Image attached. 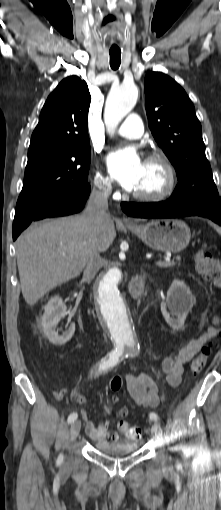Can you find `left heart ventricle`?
Masks as SVG:
<instances>
[{
	"mask_svg": "<svg viewBox=\"0 0 221 510\" xmlns=\"http://www.w3.org/2000/svg\"><path fill=\"white\" fill-rule=\"evenodd\" d=\"M166 179V172L160 163L144 162L142 175L134 192L157 193L165 186Z\"/></svg>",
	"mask_w": 221,
	"mask_h": 510,
	"instance_id": "obj_1",
	"label": "left heart ventricle"
}]
</instances>
